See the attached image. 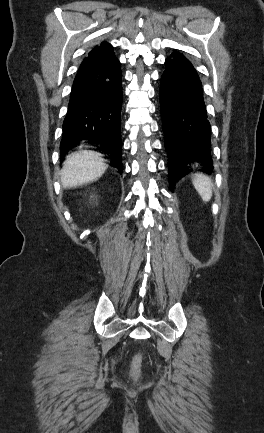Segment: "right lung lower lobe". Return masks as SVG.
Returning <instances> with one entry per match:
<instances>
[{"label":"right lung lower lobe","mask_w":264,"mask_h":433,"mask_svg":"<svg viewBox=\"0 0 264 433\" xmlns=\"http://www.w3.org/2000/svg\"><path fill=\"white\" fill-rule=\"evenodd\" d=\"M122 74L115 55L91 51L82 61L73 82L68 112L63 122L61 155L80 140L99 145L110 164L122 173L121 105Z\"/></svg>","instance_id":"right-lung-lower-lobe-1"}]
</instances>
